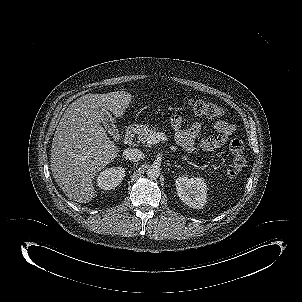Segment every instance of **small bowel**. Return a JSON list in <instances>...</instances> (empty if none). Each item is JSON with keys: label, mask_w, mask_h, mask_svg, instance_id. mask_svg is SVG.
<instances>
[{"label": "small bowel", "mask_w": 302, "mask_h": 302, "mask_svg": "<svg viewBox=\"0 0 302 302\" xmlns=\"http://www.w3.org/2000/svg\"><path fill=\"white\" fill-rule=\"evenodd\" d=\"M170 122L175 131V138L178 144L192 151L195 148L196 139L202 128L201 123L195 122L189 128L185 129L183 118L179 115H173ZM214 130L217 135L204 137L199 141V146L202 149L213 150L222 147L234 133L235 127L224 120H218L214 123Z\"/></svg>", "instance_id": "obj_1"}]
</instances>
